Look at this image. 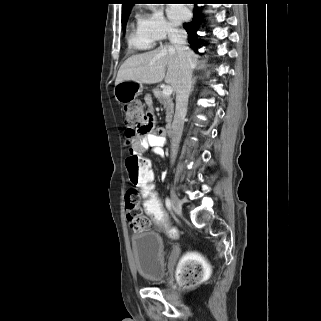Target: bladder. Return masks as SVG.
Segmentation results:
<instances>
[{
  "label": "bladder",
  "instance_id": "31cf9c89",
  "mask_svg": "<svg viewBox=\"0 0 321 321\" xmlns=\"http://www.w3.org/2000/svg\"><path fill=\"white\" fill-rule=\"evenodd\" d=\"M138 273L148 281L161 282L165 277V252L161 235L155 231L138 232L130 237Z\"/></svg>",
  "mask_w": 321,
  "mask_h": 321
}]
</instances>
